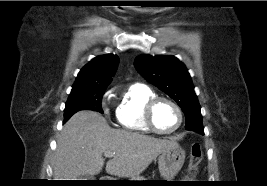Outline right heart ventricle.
<instances>
[{
	"label": "right heart ventricle",
	"instance_id": "1",
	"mask_svg": "<svg viewBox=\"0 0 267 186\" xmlns=\"http://www.w3.org/2000/svg\"><path fill=\"white\" fill-rule=\"evenodd\" d=\"M156 96L155 92L146 85L134 84L122 96L116 109L118 126L129 132L150 133L151 130L144 122L143 113L147 101Z\"/></svg>",
	"mask_w": 267,
	"mask_h": 186
}]
</instances>
